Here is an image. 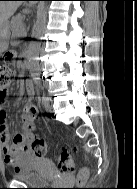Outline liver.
I'll use <instances>...</instances> for the list:
<instances>
[{"mask_svg":"<svg viewBox=\"0 0 137 189\" xmlns=\"http://www.w3.org/2000/svg\"><path fill=\"white\" fill-rule=\"evenodd\" d=\"M21 5V1H0V29Z\"/></svg>","mask_w":137,"mask_h":189,"instance_id":"6515ba94","label":"liver"}]
</instances>
